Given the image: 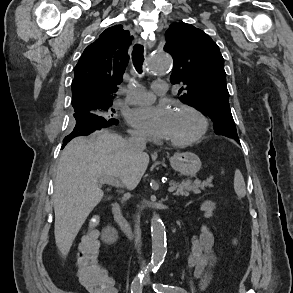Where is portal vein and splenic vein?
I'll use <instances>...</instances> for the list:
<instances>
[{
    "label": "portal vein and splenic vein",
    "instance_id": "1",
    "mask_svg": "<svg viewBox=\"0 0 293 293\" xmlns=\"http://www.w3.org/2000/svg\"><path fill=\"white\" fill-rule=\"evenodd\" d=\"M100 182L111 184V185H114V186H117V187L122 186L121 182L118 179H115V178H112V177H109V176H100ZM174 190H175V188L173 186H170L168 188V192H170V193L173 192Z\"/></svg>",
    "mask_w": 293,
    "mask_h": 293
}]
</instances>
